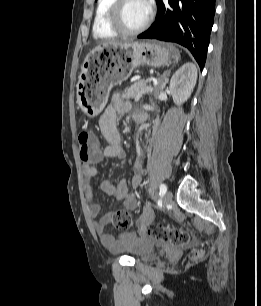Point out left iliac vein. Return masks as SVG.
<instances>
[{
  "label": "left iliac vein",
  "instance_id": "1",
  "mask_svg": "<svg viewBox=\"0 0 261 306\" xmlns=\"http://www.w3.org/2000/svg\"><path fill=\"white\" fill-rule=\"evenodd\" d=\"M172 197H173L172 192L167 191L164 195V198H163V204L168 205L171 202Z\"/></svg>",
  "mask_w": 261,
  "mask_h": 306
}]
</instances>
